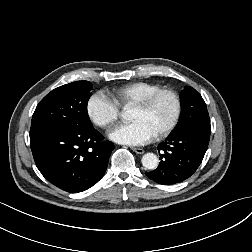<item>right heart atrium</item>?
I'll return each instance as SVG.
<instances>
[{"mask_svg": "<svg viewBox=\"0 0 252 252\" xmlns=\"http://www.w3.org/2000/svg\"><path fill=\"white\" fill-rule=\"evenodd\" d=\"M86 113L93 124L100 128H107L118 120L120 107L106 94L96 92L87 100Z\"/></svg>", "mask_w": 252, "mask_h": 252, "instance_id": "obj_1", "label": "right heart atrium"}]
</instances>
